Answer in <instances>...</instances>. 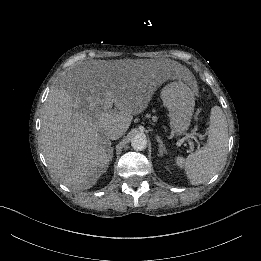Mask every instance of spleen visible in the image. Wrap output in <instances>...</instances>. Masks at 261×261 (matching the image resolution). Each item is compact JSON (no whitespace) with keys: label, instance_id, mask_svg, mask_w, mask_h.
<instances>
[{"label":"spleen","instance_id":"spleen-1","mask_svg":"<svg viewBox=\"0 0 261 261\" xmlns=\"http://www.w3.org/2000/svg\"><path fill=\"white\" fill-rule=\"evenodd\" d=\"M228 123L219 106L211 109L207 144L185 159L176 158V164L184 168L192 185L208 182L224 165L228 152Z\"/></svg>","mask_w":261,"mask_h":261}]
</instances>
